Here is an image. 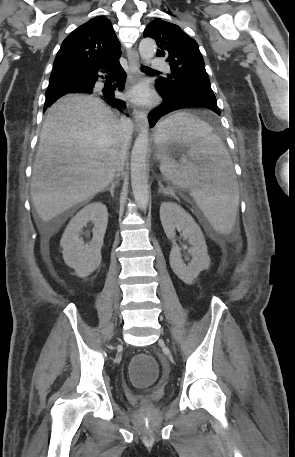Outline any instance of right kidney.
I'll use <instances>...</instances> for the list:
<instances>
[{"label":"right kidney","mask_w":295,"mask_h":457,"mask_svg":"<svg viewBox=\"0 0 295 457\" xmlns=\"http://www.w3.org/2000/svg\"><path fill=\"white\" fill-rule=\"evenodd\" d=\"M89 222L94 224L93 238L89 244H85L80 238V233ZM107 224L106 206L102 202H94L82 208L65 229L60 241V246L63 248V259L79 277L84 278L99 267Z\"/></svg>","instance_id":"1"}]
</instances>
